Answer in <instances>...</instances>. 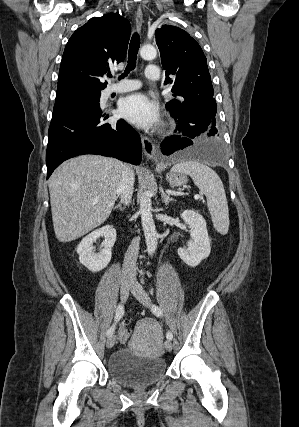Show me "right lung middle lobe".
<instances>
[{
	"instance_id": "dd1d6c3e",
	"label": "right lung middle lobe",
	"mask_w": 299,
	"mask_h": 427,
	"mask_svg": "<svg viewBox=\"0 0 299 427\" xmlns=\"http://www.w3.org/2000/svg\"><path fill=\"white\" fill-rule=\"evenodd\" d=\"M87 100H100V93L91 94V95H87V96H83V97H79V98H75V99H71L63 102H58L54 105V110L68 106V105H72L78 102L87 101Z\"/></svg>"
}]
</instances>
